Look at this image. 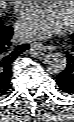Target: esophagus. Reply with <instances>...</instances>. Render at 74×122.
I'll list each match as a JSON object with an SVG mask.
<instances>
[{
	"label": "esophagus",
	"mask_w": 74,
	"mask_h": 122,
	"mask_svg": "<svg viewBox=\"0 0 74 122\" xmlns=\"http://www.w3.org/2000/svg\"><path fill=\"white\" fill-rule=\"evenodd\" d=\"M30 49L31 51H43V50H48L49 47L48 46H44L40 43H36V42H33L30 44Z\"/></svg>",
	"instance_id": "obj_1"
}]
</instances>
